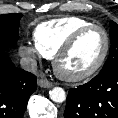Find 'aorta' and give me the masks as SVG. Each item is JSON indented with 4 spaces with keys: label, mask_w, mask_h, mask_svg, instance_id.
<instances>
[{
    "label": "aorta",
    "mask_w": 118,
    "mask_h": 118,
    "mask_svg": "<svg viewBox=\"0 0 118 118\" xmlns=\"http://www.w3.org/2000/svg\"><path fill=\"white\" fill-rule=\"evenodd\" d=\"M50 99L57 103H62L66 99V94L63 88L61 87H54L49 92Z\"/></svg>",
    "instance_id": "1"
}]
</instances>
